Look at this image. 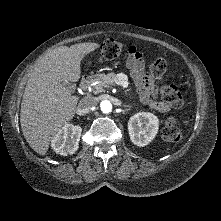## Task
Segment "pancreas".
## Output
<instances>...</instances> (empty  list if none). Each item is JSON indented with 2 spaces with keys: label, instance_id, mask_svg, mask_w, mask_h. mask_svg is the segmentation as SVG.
Listing matches in <instances>:
<instances>
[{
  "label": "pancreas",
  "instance_id": "obj_1",
  "mask_svg": "<svg viewBox=\"0 0 221 221\" xmlns=\"http://www.w3.org/2000/svg\"><path fill=\"white\" fill-rule=\"evenodd\" d=\"M118 79V74L108 73L100 74L97 78L93 79L92 82L99 81L96 85L91 86V90L94 94H98L104 91V88H109Z\"/></svg>",
  "mask_w": 221,
  "mask_h": 221
}]
</instances>
